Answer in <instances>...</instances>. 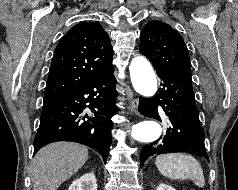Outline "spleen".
I'll return each mask as SVG.
<instances>
[{
	"label": "spleen",
	"instance_id": "1",
	"mask_svg": "<svg viewBox=\"0 0 238 190\" xmlns=\"http://www.w3.org/2000/svg\"><path fill=\"white\" fill-rule=\"evenodd\" d=\"M160 173L170 179H191L198 187L205 185L203 169L192 156L183 153L159 155L155 160Z\"/></svg>",
	"mask_w": 238,
	"mask_h": 190
}]
</instances>
